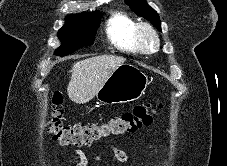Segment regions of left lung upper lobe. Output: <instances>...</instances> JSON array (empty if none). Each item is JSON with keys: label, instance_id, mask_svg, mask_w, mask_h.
Returning <instances> with one entry per match:
<instances>
[{"label": "left lung upper lobe", "instance_id": "left-lung-upper-lobe-1", "mask_svg": "<svg viewBox=\"0 0 227 166\" xmlns=\"http://www.w3.org/2000/svg\"><path fill=\"white\" fill-rule=\"evenodd\" d=\"M130 8L140 17L149 20L158 30H161L160 19L157 12L145 0H126Z\"/></svg>", "mask_w": 227, "mask_h": 166}]
</instances>
